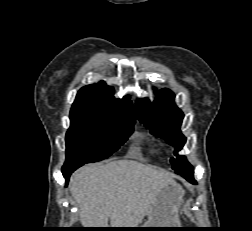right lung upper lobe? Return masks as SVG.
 Here are the masks:
<instances>
[{
  "mask_svg": "<svg viewBox=\"0 0 252 231\" xmlns=\"http://www.w3.org/2000/svg\"><path fill=\"white\" fill-rule=\"evenodd\" d=\"M113 95V88L107 86L103 81L96 85L84 86L78 91L71 112L105 113L133 118L129 96H125L123 99H115Z\"/></svg>",
  "mask_w": 252,
  "mask_h": 231,
  "instance_id": "right-lung-upper-lobe-1",
  "label": "right lung upper lobe"
}]
</instances>
